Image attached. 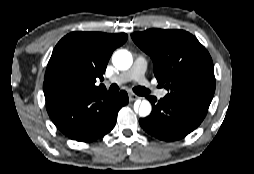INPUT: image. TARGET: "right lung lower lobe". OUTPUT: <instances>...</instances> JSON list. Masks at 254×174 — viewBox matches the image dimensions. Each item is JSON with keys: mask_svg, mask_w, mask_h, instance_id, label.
<instances>
[{"mask_svg": "<svg viewBox=\"0 0 254 174\" xmlns=\"http://www.w3.org/2000/svg\"><path fill=\"white\" fill-rule=\"evenodd\" d=\"M128 103L125 91L77 92L47 101V112L56 127L70 139L91 142L111 131L120 108Z\"/></svg>", "mask_w": 254, "mask_h": 174, "instance_id": "98d812e1", "label": "right lung lower lobe"}]
</instances>
